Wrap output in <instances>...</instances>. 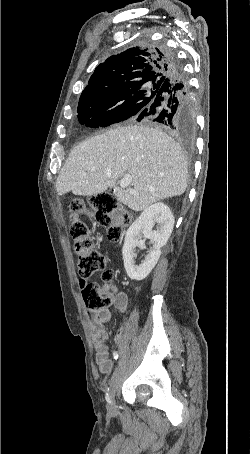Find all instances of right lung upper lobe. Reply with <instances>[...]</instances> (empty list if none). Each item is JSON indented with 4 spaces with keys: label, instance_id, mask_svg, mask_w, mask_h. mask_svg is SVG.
Segmentation results:
<instances>
[{
    "label": "right lung upper lobe",
    "instance_id": "right-lung-upper-lobe-1",
    "mask_svg": "<svg viewBox=\"0 0 250 454\" xmlns=\"http://www.w3.org/2000/svg\"><path fill=\"white\" fill-rule=\"evenodd\" d=\"M171 70L163 48L136 46L113 55L96 67L79 105L120 97L135 87L156 83L160 86Z\"/></svg>",
    "mask_w": 250,
    "mask_h": 454
}]
</instances>
